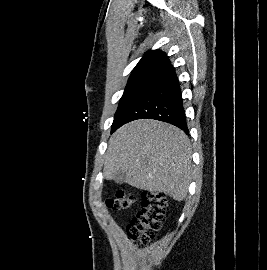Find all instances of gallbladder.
Returning a JSON list of instances; mask_svg holds the SVG:
<instances>
[{"mask_svg":"<svg viewBox=\"0 0 267 270\" xmlns=\"http://www.w3.org/2000/svg\"><path fill=\"white\" fill-rule=\"evenodd\" d=\"M125 173H123L121 170L117 171L114 180L118 184L124 183Z\"/></svg>","mask_w":267,"mask_h":270,"instance_id":"gallbladder-1","label":"gallbladder"}]
</instances>
